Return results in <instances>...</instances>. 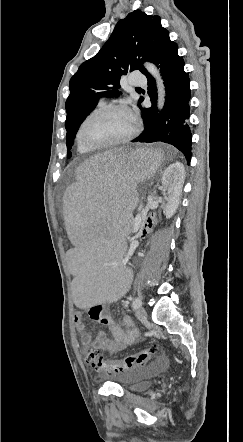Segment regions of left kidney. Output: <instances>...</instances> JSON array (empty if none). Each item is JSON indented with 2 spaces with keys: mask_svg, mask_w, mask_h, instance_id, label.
Returning a JSON list of instances; mask_svg holds the SVG:
<instances>
[{
  "mask_svg": "<svg viewBox=\"0 0 243 442\" xmlns=\"http://www.w3.org/2000/svg\"><path fill=\"white\" fill-rule=\"evenodd\" d=\"M185 178L184 165L180 162L171 164L163 173L162 185L167 190L168 199L164 212L167 219H170L179 205L182 187Z\"/></svg>",
  "mask_w": 243,
  "mask_h": 442,
  "instance_id": "left-kidney-1",
  "label": "left kidney"
}]
</instances>
